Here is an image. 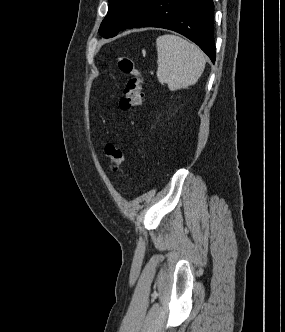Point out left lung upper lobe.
I'll list each match as a JSON object with an SVG mask.
<instances>
[{"mask_svg":"<svg viewBox=\"0 0 285 332\" xmlns=\"http://www.w3.org/2000/svg\"><path fill=\"white\" fill-rule=\"evenodd\" d=\"M153 0H109L108 13L99 33L104 38L117 35L135 21Z\"/></svg>","mask_w":285,"mask_h":332,"instance_id":"left-lung-upper-lobe-1","label":"left lung upper lobe"}]
</instances>
